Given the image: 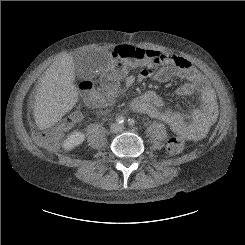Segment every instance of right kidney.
Here are the masks:
<instances>
[{
  "label": "right kidney",
  "instance_id": "1",
  "mask_svg": "<svg viewBox=\"0 0 245 245\" xmlns=\"http://www.w3.org/2000/svg\"><path fill=\"white\" fill-rule=\"evenodd\" d=\"M85 140V134L83 132H74L68 136L63 143L65 150H71L80 145Z\"/></svg>",
  "mask_w": 245,
  "mask_h": 245
}]
</instances>
